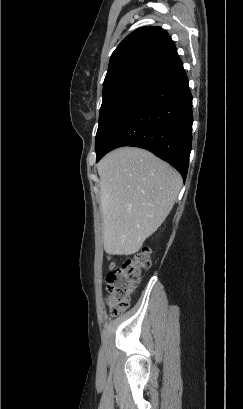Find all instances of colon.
<instances>
[{
  "label": "colon",
  "instance_id": "obj_1",
  "mask_svg": "<svg viewBox=\"0 0 243 409\" xmlns=\"http://www.w3.org/2000/svg\"><path fill=\"white\" fill-rule=\"evenodd\" d=\"M152 265L151 250L143 248L132 258L127 259L121 267L109 264L107 275V289L111 296L108 300L110 312L113 317H118L128 308L133 292L140 281L141 270Z\"/></svg>",
  "mask_w": 243,
  "mask_h": 409
}]
</instances>
